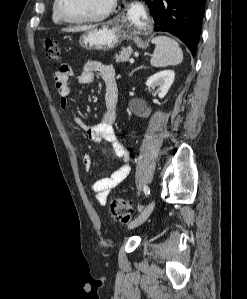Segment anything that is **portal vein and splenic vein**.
Listing matches in <instances>:
<instances>
[{"mask_svg": "<svg viewBox=\"0 0 247 299\" xmlns=\"http://www.w3.org/2000/svg\"><path fill=\"white\" fill-rule=\"evenodd\" d=\"M129 62H130L131 64H133V63H134V59H133V58L129 59Z\"/></svg>", "mask_w": 247, "mask_h": 299, "instance_id": "18ae733b", "label": "portal vein and splenic vein"}]
</instances>
